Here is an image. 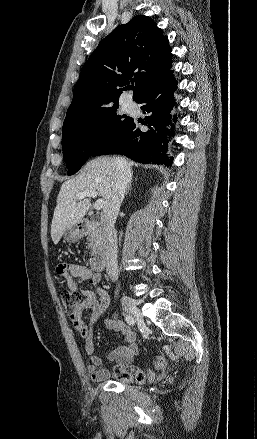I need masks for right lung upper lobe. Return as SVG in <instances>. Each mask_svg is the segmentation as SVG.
I'll list each match as a JSON object with an SVG mask.
<instances>
[{"label":"right lung upper lobe","instance_id":"obj_1","mask_svg":"<svg viewBox=\"0 0 257 439\" xmlns=\"http://www.w3.org/2000/svg\"><path fill=\"white\" fill-rule=\"evenodd\" d=\"M169 40L153 19L137 15L119 25L98 45L82 68L65 121L118 104L129 82H136L138 102L151 85L170 71Z\"/></svg>","mask_w":257,"mask_h":439}]
</instances>
